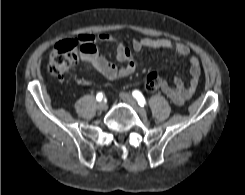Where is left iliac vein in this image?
<instances>
[{
  "mask_svg": "<svg viewBox=\"0 0 245 195\" xmlns=\"http://www.w3.org/2000/svg\"><path fill=\"white\" fill-rule=\"evenodd\" d=\"M121 99L133 107V109L143 118H146L147 114L144 108L140 107L135 98L129 93L122 92L120 94Z\"/></svg>",
  "mask_w": 245,
  "mask_h": 195,
  "instance_id": "obj_1",
  "label": "left iliac vein"
}]
</instances>
